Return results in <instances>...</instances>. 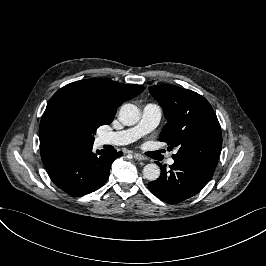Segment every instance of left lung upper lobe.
Here are the masks:
<instances>
[{"label":"left lung upper lobe","instance_id":"obj_1","mask_svg":"<svg viewBox=\"0 0 266 266\" xmlns=\"http://www.w3.org/2000/svg\"><path fill=\"white\" fill-rule=\"evenodd\" d=\"M149 91L168 120L159 140L179 148L173 159L194 161L215 169L222 134L209 102L196 92L171 85L151 86Z\"/></svg>","mask_w":266,"mask_h":266}]
</instances>
